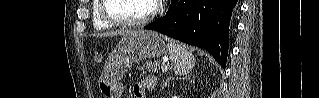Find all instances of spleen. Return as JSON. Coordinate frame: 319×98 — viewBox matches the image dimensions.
Listing matches in <instances>:
<instances>
[{
    "label": "spleen",
    "mask_w": 319,
    "mask_h": 98,
    "mask_svg": "<svg viewBox=\"0 0 319 98\" xmlns=\"http://www.w3.org/2000/svg\"><path fill=\"white\" fill-rule=\"evenodd\" d=\"M167 50L170 55L173 70L178 75L189 73L195 65V57L188 52L184 46L170 41L167 44Z\"/></svg>",
    "instance_id": "spleen-1"
}]
</instances>
